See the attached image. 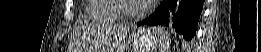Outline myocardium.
Instances as JSON below:
<instances>
[{
    "label": "myocardium",
    "mask_w": 261,
    "mask_h": 52,
    "mask_svg": "<svg viewBox=\"0 0 261 52\" xmlns=\"http://www.w3.org/2000/svg\"><path fill=\"white\" fill-rule=\"evenodd\" d=\"M127 0H120L116 2V8H117V15L123 22H131L134 21L142 16L145 15V13L148 11V8L139 4L137 11L133 14H127L122 10V3Z\"/></svg>",
    "instance_id": "1"
}]
</instances>
